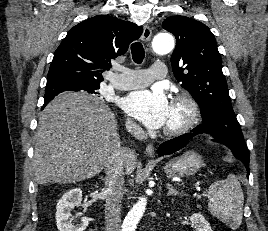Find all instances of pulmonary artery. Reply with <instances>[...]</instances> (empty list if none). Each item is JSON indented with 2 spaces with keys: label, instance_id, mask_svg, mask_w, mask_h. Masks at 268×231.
Masks as SVG:
<instances>
[{
  "label": "pulmonary artery",
  "instance_id": "pulmonary-artery-1",
  "mask_svg": "<svg viewBox=\"0 0 268 231\" xmlns=\"http://www.w3.org/2000/svg\"><path fill=\"white\" fill-rule=\"evenodd\" d=\"M165 74L166 65L162 62H153L146 69H129L124 74L114 73L110 77V82L117 90H131L144 87L154 79L163 78Z\"/></svg>",
  "mask_w": 268,
  "mask_h": 231
}]
</instances>
